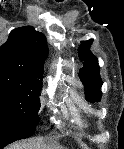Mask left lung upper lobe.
I'll return each mask as SVG.
<instances>
[{
    "label": "left lung upper lobe",
    "instance_id": "left-lung-upper-lobe-1",
    "mask_svg": "<svg viewBox=\"0 0 124 149\" xmlns=\"http://www.w3.org/2000/svg\"><path fill=\"white\" fill-rule=\"evenodd\" d=\"M93 40L82 42L78 53L80 59L84 60V67L80 70L79 76L86 87V100L89 102H99L102 96L100 87L102 80L99 75L97 58L90 52Z\"/></svg>",
    "mask_w": 124,
    "mask_h": 149
}]
</instances>
